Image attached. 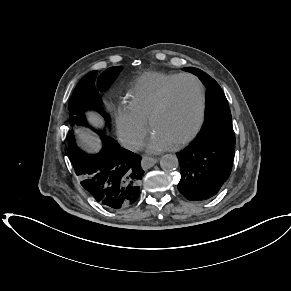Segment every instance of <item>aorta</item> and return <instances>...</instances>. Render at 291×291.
I'll return each mask as SVG.
<instances>
[{"mask_svg":"<svg viewBox=\"0 0 291 291\" xmlns=\"http://www.w3.org/2000/svg\"><path fill=\"white\" fill-rule=\"evenodd\" d=\"M179 165L178 158L174 154L163 155L160 159V166L164 171L175 170Z\"/></svg>","mask_w":291,"mask_h":291,"instance_id":"obj_1","label":"aorta"}]
</instances>
